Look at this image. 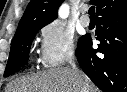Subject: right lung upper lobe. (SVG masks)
Segmentation results:
<instances>
[{
	"label": "right lung upper lobe",
	"mask_w": 127,
	"mask_h": 92,
	"mask_svg": "<svg viewBox=\"0 0 127 92\" xmlns=\"http://www.w3.org/2000/svg\"><path fill=\"white\" fill-rule=\"evenodd\" d=\"M63 0H31L19 22L16 37L24 30L47 25L57 17L58 7ZM97 7V15L127 7V0H91Z\"/></svg>",
	"instance_id": "obj_1"
}]
</instances>
